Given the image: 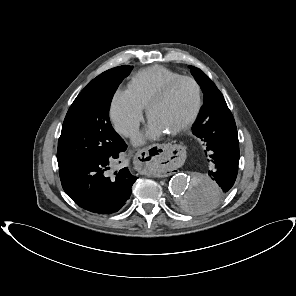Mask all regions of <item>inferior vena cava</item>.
Wrapping results in <instances>:
<instances>
[{
	"label": "inferior vena cava",
	"mask_w": 296,
	"mask_h": 296,
	"mask_svg": "<svg viewBox=\"0 0 296 296\" xmlns=\"http://www.w3.org/2000/svg\"><path fill=\"white\" fill-rule=\"evenodd\" d=\"M137 131H138V128H131V129H129L128 134H129V135H133V134H135Z\"/></svg>",
	"instance_id": "1"
}]
</instances>
